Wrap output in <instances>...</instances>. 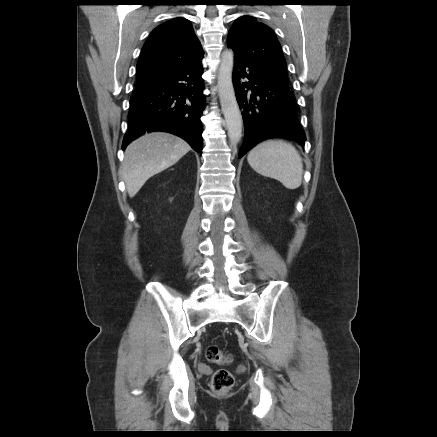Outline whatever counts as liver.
Instances as JSON below:
<instances>
[{"label":"liver","instance_id":"1","mask_svg":"<svg viewBox=\"0 0 437 437\" xmlns=\"http://www.w3.org/2000/svg\"><path fill=\"white\" fill-rule=\"evenodd\" d=\"M190 150L182 138L167 132H151L131 142L124 155L121 175L133 198L152 176L177 163Z\"/></svg>","mask_w":437,"mask_h":437}]
</instances>
